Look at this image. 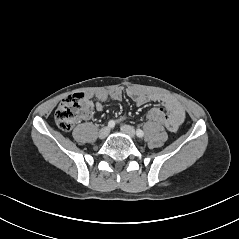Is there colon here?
<instances>
[{
    "label": "colon",
    "instance_id": "colon-1",
    "mask_svg": "<svg viewBox=\"0 0 239 239\" xmlns=\"http://www.w3.org/2000/svg\"><path fill=\"white\" fill-rule=\"evenodd\" d=\"M93 108L90 96L84 93H74L64 98L55 111V122L63 131H70L77 120L91 112ZM166 119L164 109L152 107L147 112L149 122H161Z\"/></svg>",
    "mask_w": 239,
    "mask_h": 239
}]
</instances>
